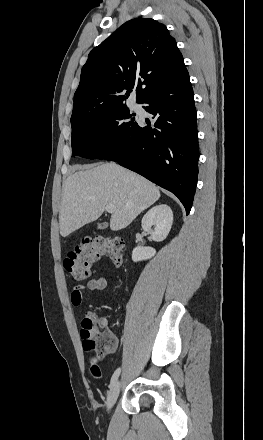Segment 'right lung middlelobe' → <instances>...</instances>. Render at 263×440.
<instances>
[{
    "mask_svg": "<svg viewBox=\"0 0 263 440\" xmlns=\"http://www.w3.org/2000/svg\"><path fill=\"white\" fill-rule=\"evenodd\" d=\"M133 116L125 105H120L76 118L71 122L72 156L99 158L109 146L119 143L137 126Z\"/></svg>",
    "mask_w": 263,
    "mask_h": 440,
    "instance_id": "1",
    "label": "right lung middle lobe"
}]
</instances>
